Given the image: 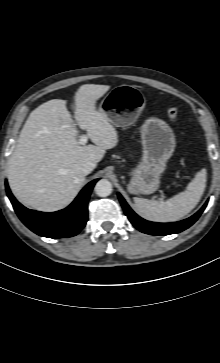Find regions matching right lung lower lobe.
<instances>
[{"label":"right lung lower lobe","instance_id":"1","mask_svg":"<svg viewBox=\"0 0 220 363\" xmlns=\"http://www.w3.org/2000/svg\"><path fill=\"white\" fill-rule=\"evenodd\" d=\"M95 179L88 183L74 202L67 208L51 213L29 210L22 206L12 195L6 184L7 195L20 220L36 234L48 238H66L75 236L87 222V203Z\"/></svg>","mask_w":220,"mask_h":363}]
</instances>
